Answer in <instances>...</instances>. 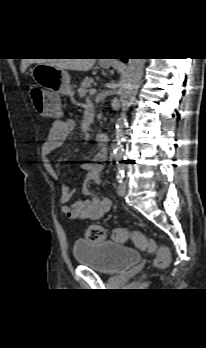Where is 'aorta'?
I'll return each mask as SVG.
<instances>
[{
	"label": "aorta",
	"mask_w": 206,
	"mask_h": 348,
	"mask_svg": "<svg viewBox=\"0 0 206 348\" xmlns=\"http://www.w3.org/2000/svg\"><path fill=\"white\" fill-rule=\"evenodd\" d=\"M145 59H129L125 74L122 79V86L120 89V102L122 111L116 124V144L114 145V156L121 158L124 154L122 142L126 135L127 127V110L134 101L137 89L140 85Z\"/></svg>",
	"instance_id": "obj_1"
}]
</instances>
